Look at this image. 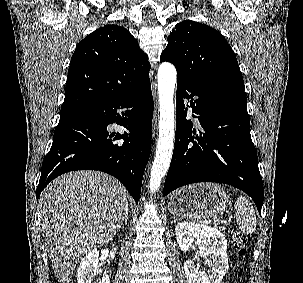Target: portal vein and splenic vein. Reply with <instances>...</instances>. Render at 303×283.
Segmentation results:
<instances>
[{"instance_id": "1", "label": "portal vein and splenic vein", "mask_w": 303, "mask_h": 283, "mask_svg": "<svg viewBox=\"0 0 303 283\" xmlns=\"http://www.w3.org/2000/svg\"><path fill=\"white\" fill-rule=\"evenodd\" d=\"M213 222H214V223H218V221H217V220H214Z\"/></svg>"}]
</instances>
